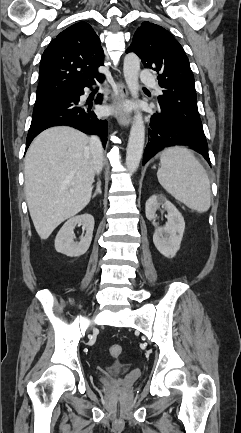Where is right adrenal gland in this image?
<instances>
[{"label":"right adrenal gland","instance_id":"1","mask_svg":"<svg viewBox=\"0 0 241 433\" xmlns=\"http://www.w3.org/2000/svg\"><path fill=\"white\" fill-rule=\"evenodd\" d=\"M98 194H102V190H101V181L98 180L97 184H96V190L93 193V198H95Z\"/></svg>","mask_w":241,"mask_h":433}]
</instances>
